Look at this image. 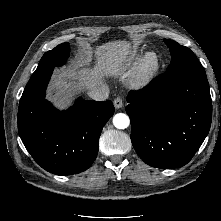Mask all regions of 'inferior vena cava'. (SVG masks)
<instances>
[{"label":"inferior vena cava","instance_id":"602c4592","mask_svg":"<svg viewBox=\"0 0 221 221\" xmlns=\"http://www.w3.org/2000/svg\"><path fill=\"white\" fill-rule=\"evenodd\" d=\"M110 90L107 86L94 87L88 92V96L95 101H104L108 98Z\"/></svg>","mask_w":221,"mask_h":221}]
</instances>
